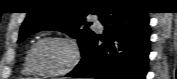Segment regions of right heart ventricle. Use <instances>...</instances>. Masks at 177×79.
<instances>
[{
    "label": "right heart ventricle",
    "instance_id": "e07e8e85",
    "mask_svg": "<svg viewBox=\"0 0 177 79\" xmlns=\"http://www.w3.org/2000/svg\"><path fill=\"white\" fill-rule=\"evenodd\" d=\"M23 73L33 75L36 72L32 69L29 63V51L26 53L24 63H23Z\"/></svg>",
    "mask_w": 177,
    "mask_h": 79
}]
</instances>
